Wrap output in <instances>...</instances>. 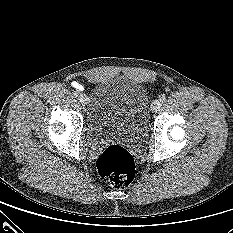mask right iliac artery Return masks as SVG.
<instances>
[{
    "label": "right iliac artery",
    "instance_id": "82829eb1",
    "mask_svg": "<svg viewBox=\"0 0 233 233\" xmlns=\"http://www.w3.org/2000/svg\"><path fill=\"white\" fill-rule=\"evenodd\" d=\"M73 94H74L75 97L79 96V92L78 91H75Z\"/></svg>",
    "mask_w": 233,
    "mask_h": 233
}]
</instances>
